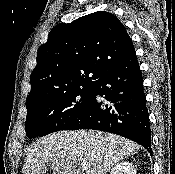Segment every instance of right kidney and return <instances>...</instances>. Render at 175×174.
Listing matches in <instances>:
<instances>
[{"label": "right kidney", "instance_id": "1", "mask_svg": "<svg viewBox=\"0 0 175 174\" xmlns=\"http://www.w3.org/2000/svg\"><path fill=\"white\" fill-rule=\"evenodd\" d=\"M110 174H136V169L132 163L123 161L117 163L112 169Z\"/></svg>", "mask_w": 175, "mask_h": 174}]
</instances>
